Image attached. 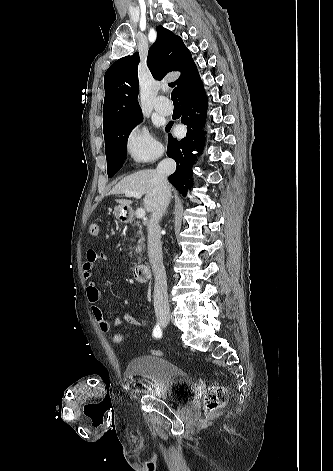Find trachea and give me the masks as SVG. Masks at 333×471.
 <instances>
[{
    "label": "trachea",
    "instance_id": "1",
    "mask_svg": "<svg viewBox=\"0 0 333 471\" xmlns=\"http://www.w3.org/2000/svg\"><path fill=\"white\" fill-rule=\"evenodd\" d=\"M171 99H172L173 102H176V103L178 102L176 88H174L172 93H171Z\"/></svg>",
    "mask_w": 333,
    "mask_h": 471
}]
</instances>
